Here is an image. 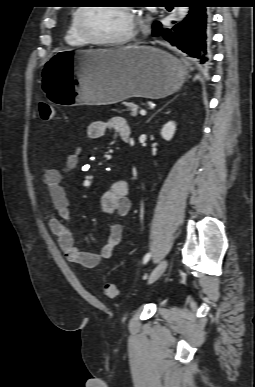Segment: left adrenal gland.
Masks as SVG:
<instances>
[{"mask_svg": "<svg viewBox=\"0 0 255 387\" xmlns=\"http://www.w3.org/2000/svg\"><path fill=\"white\" fill-rule=\"evenodd\" d=\"M169 103H167L166 105H164V107H166ZM164 107H162L161 109H159L155 114H157L159 111H161ZM155 114H153L148 120H147V123H149L151 121V119L155 116Z\"/></svg>", "mask_w": 255, "mask_h": 387, "instance_id": "left-adrenal-gland-1", "label": "left adrenal gland"}]
</instances>
